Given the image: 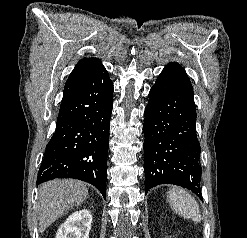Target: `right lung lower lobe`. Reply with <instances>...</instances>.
<instances>
[{
    "mask_svg": "<svg viewBox=\"0 0 247 238\" xmlns=\"http://www.w3.org/2000/svg\"><path fill=\"white\" fill-rule=\"evenodd\" d=\"M112 95L113 83L103 66L63 97L38 184L55 178L79 179L94 185L106 198Z\"/></svg>",
    "mask_w": 247,
    "mask_h": 238,
    "instance_id": "98d812e1",
    "label": "right lung lower lobe"
}]
</instances>
